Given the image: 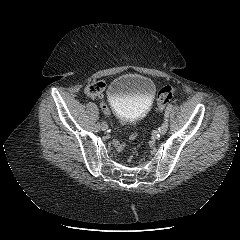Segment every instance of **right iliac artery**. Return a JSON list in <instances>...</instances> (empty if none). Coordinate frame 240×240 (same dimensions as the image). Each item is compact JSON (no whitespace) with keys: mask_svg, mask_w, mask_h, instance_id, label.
<instances>
[{"mask_svg":"<svg viewBox=\"0 0 240 240\" xmlns=\"http://www.w3.org/2000/svg\"><path fill=\"white\" fill-rule=\"evenodd\" d=\"M95 130H96V131H99V130H100V123H98V124L96 125Z\"/></svg>","mask_w":240,"mask_h":240,"instance_id":"82829eb1","label":"right iliac artery"}]
</instances>
